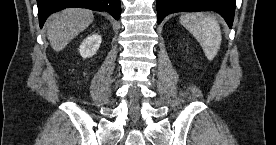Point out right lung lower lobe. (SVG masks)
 Masks as SVG:
<instances>
[{"label": "right lung lower lobe", "instance_id": "98d812e1", "mask_svg": "<svg viewBox=\"0 0 276 145\" xmlns=\"http://www.w3.org/2000/svg\"><path fill=\"white\" fill-rule=\"evenodd\" d=\"M40 27L47 17L66 7H82L96 11H107L115 19L120 18V0H37Z\"/></svg>", "mask_w": 276, "mask_h": 145}]
</instances>
